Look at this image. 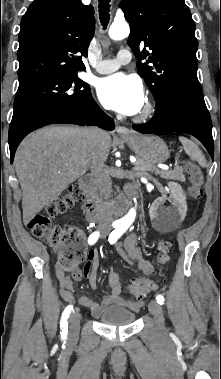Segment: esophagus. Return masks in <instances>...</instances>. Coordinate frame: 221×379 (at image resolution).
<instances>
[{
	"mask_svg": "<svg viewBox=\"0 0 221 379\" xmlns=\"http://www.w3.org/2000/svg\"><path fill=\"white\" fill-rule=\"evenodd\" d=\"M117 133L121 137H127L130 136V131L127 127L125 126H118L117 127Z\"/></svg>",
	"mask_w": 221,
	"mask_h": 379,
	"instance_id": "obj_1",
	"label": "esophagus"
}]
</instances>
